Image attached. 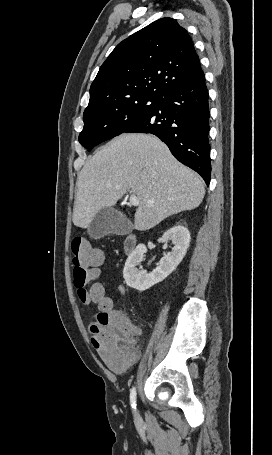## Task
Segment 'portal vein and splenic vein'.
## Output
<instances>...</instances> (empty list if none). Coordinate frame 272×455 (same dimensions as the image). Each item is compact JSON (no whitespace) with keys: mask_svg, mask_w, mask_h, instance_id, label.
Wrapping results in <instances>:
<instances>
[{"mask_svg":"<svg viewBox=\"0 0 272 455\" xmlns=\"http://www.w3.org/2000/svg\"><path fill=\"white\" fill-rule=\"evenodd\" d=\"M129 202L133 206H139L140 202L135 194H131L129 198Z\"/></svg>","mask_w":272,"mask_h":455,"instance_id":"1","label":"portal vein and splenic vein"}]
</instances>
